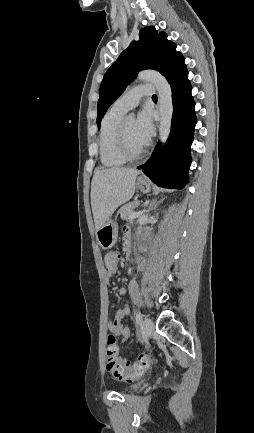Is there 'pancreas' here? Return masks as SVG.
<instances>
[{"mask_svg":"<svg viewBox=\"0 0 254 433\" xmlns=\"http://www.w3.org/2000/svg\"><path fill=\"white\" fill-rule=\"evenodd\" d=\"M139 203H140L139 201H133L122 206L119 210L121 219L131 220L130 215L134 212L133 210L139 205Z\"/></svg>","mask_w":254,"mask_h":433,"instance_id":"obj_1","label":"pancreas"}]
</instances>
